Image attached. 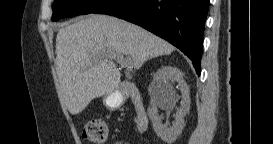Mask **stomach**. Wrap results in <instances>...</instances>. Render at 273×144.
<instances>
[{"label": "stomach", "mask_w": 273, "mask_h": 144, "mask_svg": "<svg viewBox=\"0 0 273 144\" xmlns=\"http://www.w3.org/2000/svg\"><path fill=\"white\" fill-rule=\"evenodd\" d=\"M124 102V97L119 90H115L104 96L103 103L109 110L118 109Z\"/></svg>", "instance_id": "1"}]
</instances>
